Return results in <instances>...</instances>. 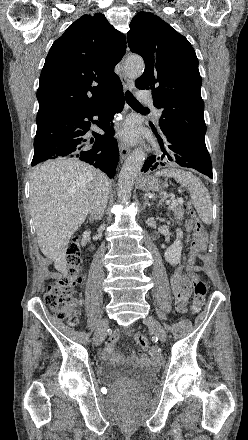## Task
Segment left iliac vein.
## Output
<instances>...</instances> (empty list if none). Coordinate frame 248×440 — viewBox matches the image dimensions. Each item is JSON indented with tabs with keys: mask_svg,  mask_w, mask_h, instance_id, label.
Here are the masks:
<instances>
[{
	"mask_svg": "<svg viewBox=\"0 0 248 440\" xmlns=\"http://www.w3.org/2000/svg\"><path fill=\"white\" fill-rule=\"evenodd\" d=\"M144 323L153 331V333L159 338L160 341H166V333L162 325L152 316H148L144 319Z\"/></svg>",
	"mask_w": 248,
	"mask_h": 440,
	"instance_id": "left-iliac-vein-1",
	"label": "left iliac vein"
}]
</instances>
